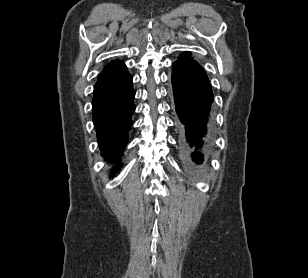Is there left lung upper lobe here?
<instances>
[{"mask_svg":"<svg viewBox=\"0 0 308 278\" xmlns=\"http://www.w3.org/2000/svg\"><path fill=\"white\" fill-rule=\"evenodd\" d=\"M190 56H191V53L185 52V53H182V54L179 56V59H178V60L189 59V58H191Z\"/></svg>","mask_w":308,"mask_h":278,"instance_id":"5c2ea615","label":"left lung upper lobe"}]
</instances>
